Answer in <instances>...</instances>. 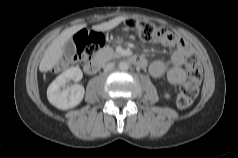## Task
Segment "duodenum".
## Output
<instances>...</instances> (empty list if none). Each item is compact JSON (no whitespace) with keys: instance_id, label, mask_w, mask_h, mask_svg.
<instances>
[{"instance_id":"obj_1","label":"duodenum","mask_w":238,"mask_h":158,"mask_svg":"<svg viewBox=\"0 0 238 158\" xmlns=\"http://www.w3.org/2000/svg\"><path fill=\"white\" fill-rule=\"evenodd\" d=\"M131 61L135 66L139 68H144L147 65L146 59L141 56H132ZM100 67L101 62L99 60H91L84 65V71L87 74H95L96 72H98Z\"/></svg>"}]
</instances>
